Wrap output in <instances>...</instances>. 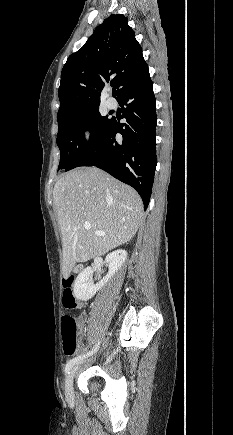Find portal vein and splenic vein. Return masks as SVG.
<instances>
[{"label": "portal vein and splenic vein", "instance_id": "18ae733b", "mask_svg": "<svg viewBox=\"0 0 233 435\" xmlns=\"http://www.w3.org/2000/svg\"><path fill=\"white\" fill-rule=\"evenodd\" d=\"M84 227H85L86 229H89V228H90V223L87 222V221L84 222ZM95 234H96V235H99V236H106V234H105L104 232H101V231H96Z\"/></svg>", "mask_w": 233, "mask_h": 435}]
</instances>
